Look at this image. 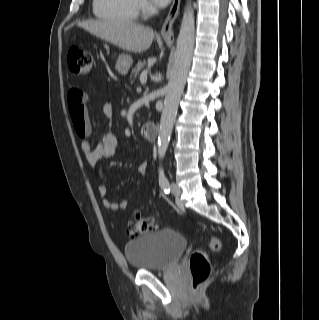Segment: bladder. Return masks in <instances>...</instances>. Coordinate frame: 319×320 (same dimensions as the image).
Masks as SVG:
<instances>
[{
  "label": "bladder",
  "mask_w": 319,
  "mask_h": 320,
  "mask_svg": "<svg viewBox=\"0 0 319 320\" xmlns=\"http://www.w3.org/2000/svg\"><path fill=\"white\" fill-rule=\"evenodd\" d=\"M188 247V240L173 229L146 233L127 242L126 259L135 270H165L175 265Z\"/></svg>",
  "instance_id": "31cf9c89"
}]
</instances>
